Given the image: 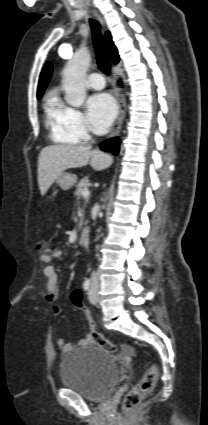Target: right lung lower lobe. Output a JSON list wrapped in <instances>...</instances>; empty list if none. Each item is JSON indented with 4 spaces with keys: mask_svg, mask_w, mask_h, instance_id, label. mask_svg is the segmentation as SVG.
Returning a JSON list of instances; mask_svg holds the SVG:
<instances>
[{
    "mask_svg": "<svg viewBox=\"0 0 208 425\" xmlns=\"http://www.w3.org/2000/svg\"><path fill=\"white\" fill-rule=\"evenodd\" d=\"M120 141L118 138H113L110 140H105L100 144V148L103 151H108L116 155L119 152Z\"/></svg>",
    "mask_w": 208,
    "mask_h": 425,
    "instance_id": "98d812e1",
    "label": "right lung lower lobe"
}]
</instances>
